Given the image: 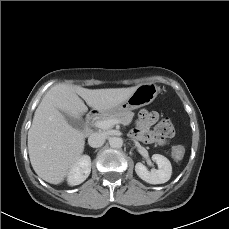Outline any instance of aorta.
Listing matches in <instances>:
<instances>
[{
    "label": "aorta",
    "instance_id": "1",
    "mask_svg": "<svg viewBox=\"0 0 229 229\" xmlns=\"http://www.w3.org/2000/svg\"><path fill=\"white\" fill-rule=\"evenodd\" d=\"M109 144L112 148L119 149L123 145V140L120 137H111L109 139Z\"/></svg>",
    "mask_w": 229,
    "mask_h": 229
}]
</instances>
